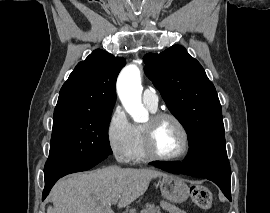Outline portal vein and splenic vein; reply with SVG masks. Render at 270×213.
<instances>
[{"mask_svg": "<svg viewBox=\"0 0 270 213\" xmlns=\"http://www.w3.org/2000/svg\"><path fill=\"white\" fill-rule=\"evenodd\" d=\"M117 202H118V200L115 199V200L112 201V204H116Z\"/></svg>", "mask_w": 270, "mask_h": 213, "instance_id": "obj_1", "label": "portal vein and splenic vein"}]
</instances>
